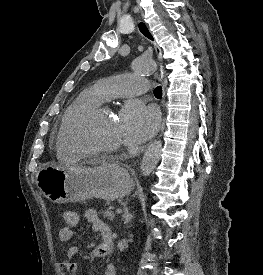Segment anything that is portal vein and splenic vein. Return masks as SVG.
<instances>
[{"instance_id": "18ae733b", "label": "portal vein and splenic vein", "mask_w": 263, "mask_h": 275, "mask_svg": "<svg viewBox=\"0 0 263 275\" xmlns=\"http://www.w3.org/2000/svg\"><path fill=\"white\" fill-rule=\"evenodd\" d=\"M116 213H117V214L122 213V209H121V208L116 209Z\"/></svg>"}]
</instances>
